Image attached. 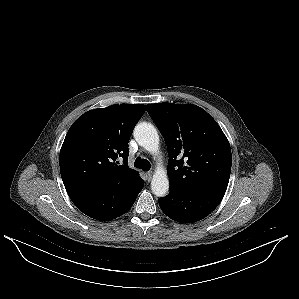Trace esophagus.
I'll use <instances>...</instances> for the list:
<instances>
[{
    "instance_id": "obj_1",
    "label": "esophagus",
    "mask_w": 299,
    "mask_h": 299,
    "mask_svg": "<svg viewBox=\"0 0 299 299\" xmlns=\"http://www.w3.org/2000/svg\"><path fill=\"white\" fill-rule=\"evenodd\" d=\"M152 172H146V179L147 181H150L152 179Z\"/></svg>"
}]
</instances>
